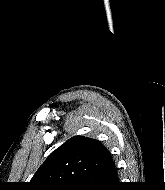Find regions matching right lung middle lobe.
<instances>
[{
	"label": "right lung middle lobe",
	"instance_id": "dd1d6c3e",
	"mask_svg": "<svg viewBox=\"0 0 165 190\" xmlns=\"http://www.w3.org/2000/svg\"><path fill=\"white\" fill-rule=\"evenodd\" d=\"M81 182H75L72 184H66L62 186H56L54 188H50L51 190H80Z\"/></svg>",
	"mask_w": 165,
	"mask_h": 190
}]
</instances>
